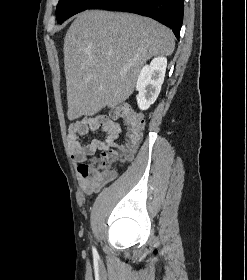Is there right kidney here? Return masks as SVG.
I'll use <instances>...</instances> for the list:
<instances>
[{"mask_svg": "<svg viewBox=\"0 0 247 280\" xmlns=\"http://www.w3.org/2000/svg\"><path fill=\"white\" fill-rule=\"evenodd\" d=\"M166 67L167 59L157 57L140 71L136 89L139 92L137 103L141 110L148 109L157 99L164 81Z\"/></svg>", "mask_w": 247, "mask_h": 280, "instance_id": "obj_1", "label": "right kidney"}]
</instances>
